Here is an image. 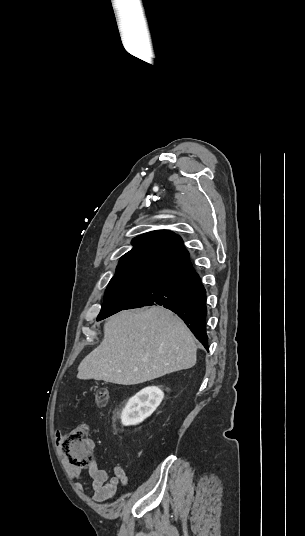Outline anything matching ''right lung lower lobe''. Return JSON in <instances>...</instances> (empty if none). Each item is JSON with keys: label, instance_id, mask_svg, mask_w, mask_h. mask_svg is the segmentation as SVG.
Returning <instances> with one entry per match:
<instances>
[{"label": "right lung lower lobe", "instance_id": "1", "mask_svg": "<svg viewBox=\"0 0 305 536\" xmlns=\"http://www.w3.org/2000/svg\"><path fill=\"white\" fill-rule=\"evenodd\" d=\"M156 304L176 313L208 350L206 291L192 266L165 277L124 309Z\"/></svg>", "mask_w": 305, "mask_h": 536}]
</instances>
